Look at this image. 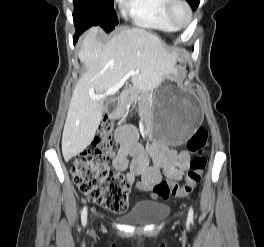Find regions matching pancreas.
<instances>
[{"mask_svg": "<svg viewBox=\"0 0 264 247\" xmlns=\"http://www.w3.org/2000/svg\"><path fill=\"white\" fill-rule=\"evenodd\" d=\"M140 90L137 87H133L127 91L122 96V99L112 114L113 119L123 118L127 112L128 105L132 102H136L140 97Z\"/></svg>", "mask_w": 264, "mask_h": 247, "instance_id": "obj_1", "label": "pancreas"}]
</instances>
